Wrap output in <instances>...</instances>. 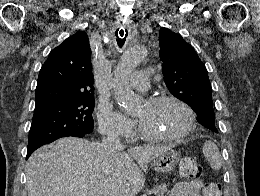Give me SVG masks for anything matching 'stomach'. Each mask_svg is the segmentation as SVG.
<instances>
[{"instance_id": "0dacf381", "label": "stomach", "mask_w": 260, "mask_h": 196, "mask_svg": "<svg viewBox=\"0 0 260 196\" xmlns=\"http://www.w3.org/2000/svg\"><path fill=\"white\" fill-rule=\"evenodd\" d=\"M180 160V152H176L173 148H165L164 152L152 160L150 168L155 172H173Z\"/></svg>"}]
</instances>
